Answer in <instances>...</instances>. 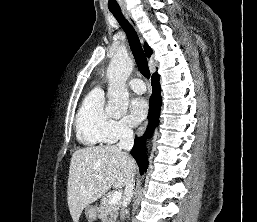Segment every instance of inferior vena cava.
<instances>
[{"label": "inferior vena cava", "instance_id": "inferior-vena-cava-1", "mask_svg": "<svg viewBox=\"0 0 257 222\" xmlns=\"http://www.w3.org/2000/svg\"><path fill=\"white\" fill-rule=\"evenodd\" d=\"M133 145H134L133 130L129 127H124L122 129V132L120 135V141L117 144V146L120 149L130 151ZM133 189H134V176L131 177V179L128 181L125 187V205L123 206L122 213H121L122 221H124L125 219V214H126L125 208L127 207L128 203L131 200Z\"/></svg>", "mask_w": 257, "mask_h": 222}]
</instances>
